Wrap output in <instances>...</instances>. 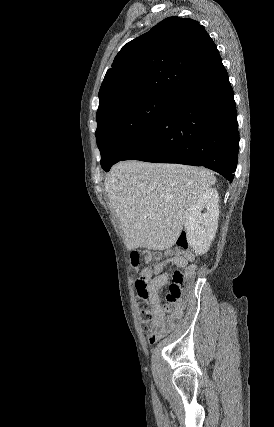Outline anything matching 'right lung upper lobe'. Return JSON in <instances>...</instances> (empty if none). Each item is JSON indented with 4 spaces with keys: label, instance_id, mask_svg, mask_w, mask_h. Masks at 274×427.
Returning a JSON list of instances; mask_svg holds the SVG:
<instances>
[{
    "label": "right lung upper lobe",
    "instance_id": "1",
    "mask_svg": "<svg viewBox=\"0 0 274 427\" xmlns=\"http://www.w3.org/2000/svg\"><path fill=\"white\" fill-rule=\"evenodd\" d=\"M222 69L217 47L198 21L166 18L117 54L99 91L97 116L135 97L178 96Z\"/></svg>",
    "mask_w": 274,
    "mask_h": 427
}]
</instances>
